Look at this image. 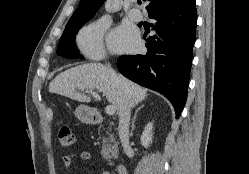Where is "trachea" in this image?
<instances>
[{
    "instance_id": "obj_1",
    "label": "trachea",
    "mask_w": 249,
    "mask_h": 174,
    "mask_svg": "<svg viewBox=\"0 0 249 174\" xmlns=\"http://www.w3.org/2000/svg\"><path fill=\"white\" fill-rule=\"evenodd\" d=\"M138 4H141V0H138Z\"/></svg>"
}]
</instances>
